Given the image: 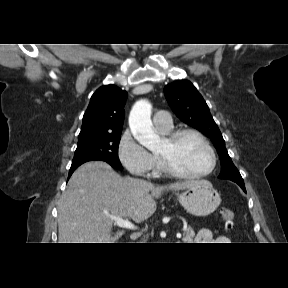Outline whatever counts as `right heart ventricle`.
Returning a JSON list of instances; mask_svg holds the SVG:
<instances>
[{
    "instance_id": "1",
    "label": "right heart ventricle",
    "mask_w": 288,
    "mask_h": 288,
    "mask_svg": "<svg viewBox=\"0 0 288 288\" xmlns=\"http://www.w3.org/2000/svg\"><path fill=\"white\" fill-rule=\"evenodd\" d=\"M161 133H163V134H167V133H169L170 132V130L169 131H161V130H159ZM157 170H158V172H160V171H162L163 169H162V167H161V163H160V161H159V159L157 158Z\"/></svg>"
}]
</instances>
